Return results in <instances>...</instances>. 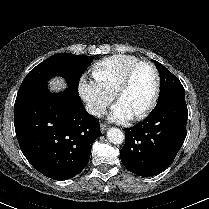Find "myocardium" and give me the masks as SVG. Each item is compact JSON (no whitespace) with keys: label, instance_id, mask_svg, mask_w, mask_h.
Instances as JSON below:
<instances>
[{"label":"myocardium","instance_id":"1","mask_svg":"<svg viewBox=\"0 0 209 209\" xmlns=\"http://www.w3.org/2000/svg\"><path fill=\"white\" fill-rule=\"evenodd\" d=\"M141 65H148L152 69L153 74H154V78H155V86H154L152 98L149 101V103L141 111H139L137 114H135L133 116L135 120H140V119H143L144 117H146L154 109V107L157 104L159 94H160V88H161L160 74L158 72L157 67L154 65V63H152L151 61H148V60L137 61L126 71V73L124 74L123 78L121 79V81L115 91V98L118 101L121 94L130 85L135 71Z\"/></svg>","mask_w":209,"mask_h":209}]
</instances>
